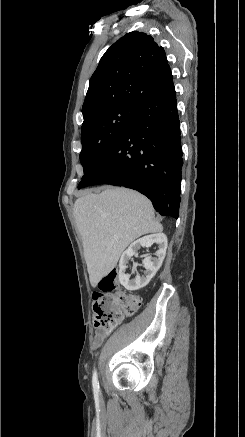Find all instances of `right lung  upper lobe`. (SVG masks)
Instances as JSON below:
<instances>
[{"label": "right lung upper lobe", "mask_w": 245, "mask_h": 437, "mask_svg": "<svg viewBox=\"0 0 245 437\" xmlns=\"http://www.w3.org/2000/svg\"><path fill=\"white\" fill-rule=\"evenodd\" d=\"M175 91L163 47L142 32L127 33L102 56L82 107L83 117L103 106L139 103Z\"/></svg>", "instance_id": "1"}]
</instances>
